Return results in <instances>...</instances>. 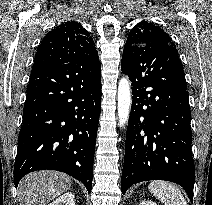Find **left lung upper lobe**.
<instances>
[{"mask_svg": "<svg viewBox=\"0 0 212 205\" xmlns=\"http://www.w3.org/2000/svg\"><path fill=\"white\" fill-rule=\"evenodd\" d=\"M146 43H160L174 46L171 38L163 29L151 22L144 21L137 24L130 31L123 55L130 53L133 46H142Z\"/></svg>", "mask_w": 212, "mask_h": 205, "instance_id": "obj_1", "label": "left lung upper lobe"}]
</instances>
